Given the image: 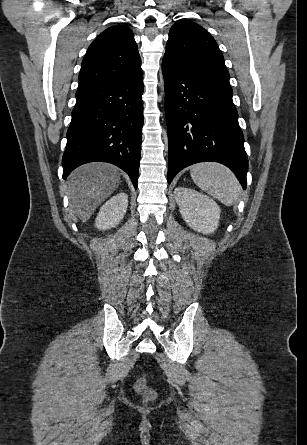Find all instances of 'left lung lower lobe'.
I'll list each match as a JSON object with an SVG mask.
<instances>
[{
	"mask_svg": "<svg viewBox=\"0 0 307 445\" xmlns=\"http://www.w3.org/2000/svg\"><path fill=\"white\" fill-rule=\"evenodd\" d=\"M168 128V183L183 168L215 161L229 167L246 188L248 159L238 113L227 95L207 88L162 61Z\"/></svg>",
	"mask_w": 307,
	"mask_h": 445,
	"instance_id": "left-lung-lower-lobe-1",
	"label": "left lung lower lobe"
}]
</instances>
